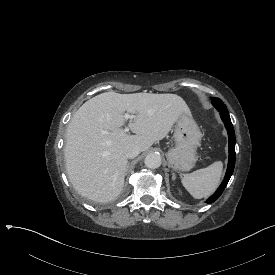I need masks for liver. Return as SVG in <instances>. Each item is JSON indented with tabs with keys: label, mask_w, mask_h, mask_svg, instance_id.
<instances>
[{
	"label": "liver",
	"mask_w": 275,
	"mask_h": 275,
	"mask_svg": "<svg viewBox=\"0 0 275 275\" xmlns=\"http://www.w3.org/2000/svg\"><path fill=\"white\" fill-rule=\"evenodd\" d=\"M180 110L189 107L176 94L106 92L86 101L66 132L65 163L74 189L95 202L114 200L123 190L127 173L125 146L148 149L168 133ZM124 112L137 115L127 123L136 135L120 129Z\"/></svg>",
	"instance_id": "liver-1"
}]
</instances>
